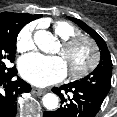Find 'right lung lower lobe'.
<instances>
[{
    "instance_id": "1",
    "label": "right lung lower lobe",
    "mask_w": 117,
    "mask_h": 117,
    "mask_svg": "<svg viewBox=\"0 0 117 117\" xmlns=\"http://www.w3.org/2000/svg\"><path fill=\"white\" fill-rule=\"evenodd\" d=\"M16 74L15 67L0 72V117H14L17 112L18 94L31 90V86L21 78L11 80Z\"/></svg>"
}]
</instances>
